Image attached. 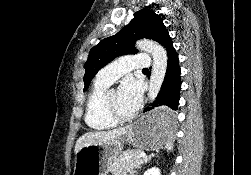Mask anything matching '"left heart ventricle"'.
<instances>
[{
    "label": "left heart ventricle",
    "mask_w": 251,
    "mask_h": 175,
    "mask_svg": "<svg viewBox=\"0 0 251 175\" xmlns=\"http://www.w3.org/2000/svg\"><path fill=\"white\" fill-rule=\"evenodd\" d=\"M109 103L112 110L119 114L127 115L128 113L123 109L119 101V92L116 89H113L109 94Z\"/></svg>",
    "instance_id": "1"
}]
</instances>
